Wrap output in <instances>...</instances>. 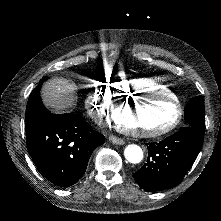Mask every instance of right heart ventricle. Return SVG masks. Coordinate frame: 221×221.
<instances>
[{
    "label": "right heart ventricle",
    "mask_w": 221,
    "mask_h": 221,
    "mask_svg": "<svg viewBox=\"0 0 221 221\" xmlns=\"http://www.w3.org/2000/svg\"><path fill=\"white\" fill-rule=\"evenodd\" d=\"M151 81L154 80L137 79L135 81L126 80L119 83L112 80L108 89L111 97L120 99L135 96L142 97L151 93L156 99L173 100L176 97V92L173 89H165L159 82L150 84L149 82Z\"/></svg>",
    "instance_id": "e07e8e85"
}]
</instances>
